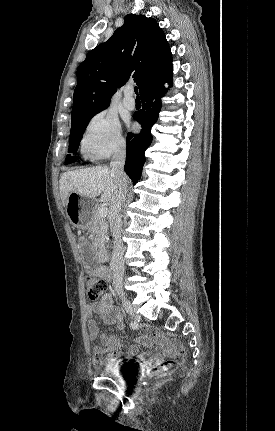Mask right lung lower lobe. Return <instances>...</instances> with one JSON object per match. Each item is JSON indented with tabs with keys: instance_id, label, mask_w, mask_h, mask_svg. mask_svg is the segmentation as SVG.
<instances>
[{
	"instance_id": "1",
	"label": "right lung lower lobe",
	"mask_w": 275,
	"mask_h": 431,
	"mask_svg": "<svg viewBox=\"0 0 275 431\" xmlns=\"http://www.w3.org/2000/svg\"><path fill=\"white\" fill-rule=\"evenodd\" d=\"M172 85V71L159 83L151 87L141 95L142 110L134 114V118L141 124L139 134L128 133L127 152L124 170L134 184L138 182L142 174L145 162L144 152L152 141L151 127L158 119L161 110V97L166 93L164 83Z\"/></svg>"
}]
</instances>
